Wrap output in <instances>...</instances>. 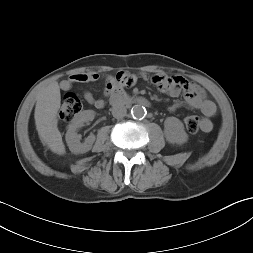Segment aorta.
<instances>
[{
	"label": "aorta",
	"mask_w": 253,
	"mask_h": 253,
	"mask_svg": "<svg viewBox=\"0 0 253 253\" xmlns=\"http://www.w3.org/2000/svg\"><path fill=\"white\" fill-rule=\"evenodd\" d=\"M131 114L135 119H141L146 115V109L141 105H135L131 109Z\"/></svg>",
	"instance_id": "aorta-1"
}]
</instances>
